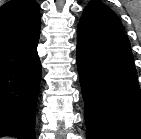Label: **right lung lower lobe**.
<instances>
[{"label": "right lung lower lobe", "instance_id": "98d812e1", "mask_svg": "<svg viewBox=\"0 0 141 139\" xmlns=\"http://www.w3.org/2000/svg\"><path fill=\"white\" fill-rule=\"evenodd\" d=\"M39 36L40 32L0 46V137L35 139L41 79Z\"/></svg>", "mask_w": 141, "mask_h": 139}]
</instances>
